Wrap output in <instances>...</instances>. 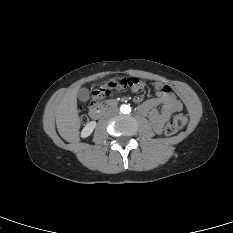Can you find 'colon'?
Returning a JSON list of instances; mask_svg holds the SVG:
<instances>
[{
    "label": "colon",
    "instance_id": "1",
    "mask_svg": "<svg viewBox=\"0 0 233 233\" xmlns=\"http://www.w3.org/2000/svg\"><path fill=\"white\" fill-rule=\"evenodd\" d=\"M138 80L136 78H117L92 92L90 105L96 104L99 100L109 96L114 88L132 87ZM85 121V118L82 117ZM187 123V116L183 113L176 114L165 126V133L172 135L182 129Z\"/></svg>",
    "mask_w": 233,
    "mask_h": 233
}]
</instances>
